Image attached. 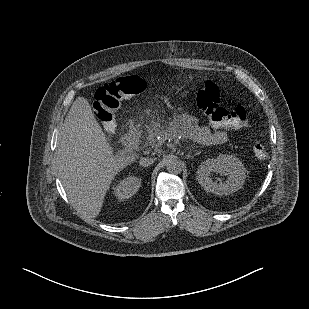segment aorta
Segmentation results:
<instances>
[{
	"instance_id": "762f6f07",
	"label": "aorta",
	"mask_w": 309,
	"mask_h": 309,
	"mask_svg": "<svg viewBox=\"0 0 309 309\" xmlns=\"http://www.w3.org/2000/svg\"><path fill=\"white\" fill-rule=\"evenodd\" d=\"M166 169L171 174H180L183 170V162L175 156L166 159Z\"/></svg>"
}]
</instances>
